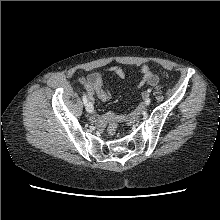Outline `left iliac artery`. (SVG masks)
I'll return each instance as SVG.
<instances>
[{
  "instance_id": "obj_1",
  "label": "left iliac artery",
  "mask_w": 220,
  "mask_h": 220,
  "mask_svg": "<svg viewBox=\"0 0 220 220\" xmlns=\"http://www.w3.org/2000/svg\"><path fill=\"white\" fill-rule=\"evenodd\" d=\"M152 90L149 88L148 90H147V92L148 93H150ZM147 104H150V100L149 99H146V101H145Z\"/></svg>"
}]
</instances>
